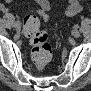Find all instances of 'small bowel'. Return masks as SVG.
<instances>
[{"instance_id": "1", "label": "small bowel", "mask_w": 91, "mask_h": 91, "mask_svg": "<svg viewBox=\"0 0 91 91\" xmlns=\"http://www.w3.org/2000/svg\"><path fill=\"white\" fill-rule=\"evenodd\" d=\"M37 5L39 6V9L37 12L40 15H48V12L50 11V3L48 0H36ZM1 10L3 12H7L8 9L5 5H1ZM82 10V6L77 0H70L68 2V5L64 11V14L66 16H74L78 14Z\"/></svg>"}]
</instances>
